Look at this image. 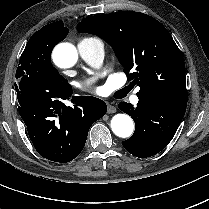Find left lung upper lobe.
Here are the masks:
<instances>
[{"instance_id":"obj_1","label":"left lung upper lobe","mask_w":209,"mask_h":209,"mask_svg":"<svg viewBox=\"0 0 209 209\" xmlns=\"http://www.w3.org/2000/svg\"><path fill=\"white\" fill-rule=\"evenodd\" d=\"M79 32L103 38L114 50L138 97L186 105L185 63L171 34L155 18L133 11L84 18Z\"/></svg>"}]
</instances>
